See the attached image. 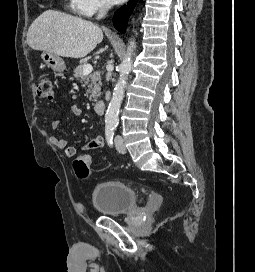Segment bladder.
Here are the masks:
<instances>
[{
    "instance_id": "bladder-1",
    "label": "bladder",
    "mask_w": 255,
    "mask_h": 272,
    "mask_svg": "<svg viewBox=\"0 0 255 272\" xmlns=\"http://www.w3.org/2000/svg\"><path fill=\"white\" fill-rule=\"evenodd\" d=\"M94 209L102 216H120L137 206L136 192L120 181H107L96 185L91 192Z\"/></svg>"
}]
</instances>
